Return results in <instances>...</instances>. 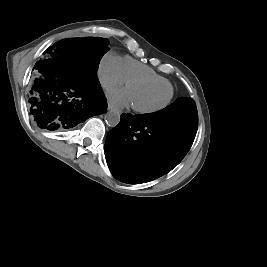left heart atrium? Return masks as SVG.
I'll return each mask as SVG.
<instances>
[{"instance_id": "1", "label": "left heart atrium", "mask_w": 267, "mask_h": 267, "mask_svg": "<svg viewBox=\"0 0 267 267\" xmlns=\"http://www.w3.org/2000/svg\"><path fill=\"white\" fill-rule=\"evenodd\" d=\"M111 103L118 107H125L131 104L130 93L125 89H111L107 93Z\"/></svg>"}]
</instances>
